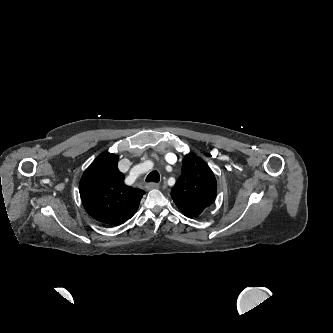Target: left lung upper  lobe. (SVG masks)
<instances>
[{
	"instance_id": "obj_1",
	"label": "left lung upper lobe",
	"mask_w": 333,
	"mask_h": 333,
	"mask_svg": "<svg viewBox=\"0 0 333 333\" xmlns=\"http://www.w3.org/2000/svg\"><path fill=\"white\" fill-rule=\"evenodd\" d=\"M217 184L207 163L195 154L183 159L182 174L171 190L178 209L187 217H198L215 200Z\"/></svg>"
}]
</instances>
